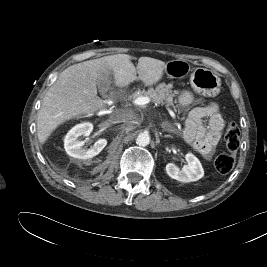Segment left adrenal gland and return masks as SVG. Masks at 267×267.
I'll list each match as a JSON object with an SVG mask.
<instances>
[{
  "label": "left adrenal gland",
  "instance_id": "1",
  "mask_svg": "<svg viewBox=\"0 0 267 267\" xmlns=\"http://www.w3.org/2000/svg\"><path fill=\"white\" fill-rule=\"evenodd\" d=\"M166 130H169V131H170L171 129L168 128V129H166ZM164 137H165V138H173V136H171V135H164Z\"/></svg>",
  "mask_w": 267,
  "mask_h": 267
}]
</instances>
